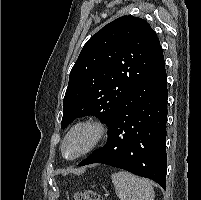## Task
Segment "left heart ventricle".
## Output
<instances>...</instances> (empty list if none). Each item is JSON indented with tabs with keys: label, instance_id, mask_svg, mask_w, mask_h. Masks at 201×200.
<instances>
[{
	"label": "left heart ventricle",
	"instance_id": "left-heart-ventricle-1",
	"mask_svg": "<svg viewBox=\"0 0 201 200\" xmlns=\"http://www.w3.org/2000/svg\"><path fill=\"white\" fill-rule=\"evenodd\" d=\"M92 134L87 129L74 131L67 139L64 152L67 157H72L83 151L90 143Z\"/></svg>",
	"mask_w": 201,
	"mask_h": 200
}]
</instances>
